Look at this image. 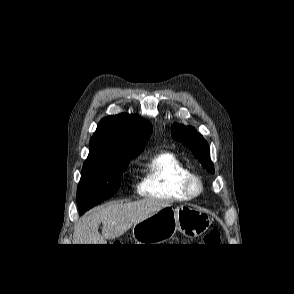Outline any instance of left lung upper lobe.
Returning a JSON list of instances; mask_svg holds the SVG:
<instances>
[{"label": "left lung upper lobe", "mask_w": 294, "mask_h": 294, "mask_svg": "<svg viewBox=\"0 0 294 294\" xmlns=\"http://www.w3.org/2000/svg\"><path fill=\"white\" fill-rule=\"evenodd\" d=\"M172 137L191 149L194 156L199 159L201 165L208 172L214 173V164L210 159L209 145L200 133L193 127H186L182 124L174 123Z\"/></svg>", "instance_id": "1"}]
</instances>
